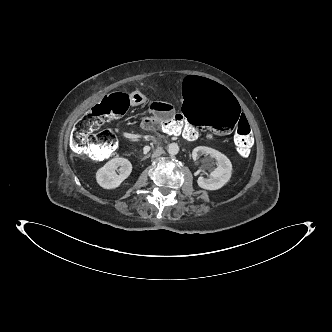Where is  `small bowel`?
<instances>
[{"label": "small bowel", "mask_w": 332, "mask_h": 332, "mask_svg": "<svg viewBox=\"0 0 332 332\" xmlns=\"http://www.w3.org/2000/svg\"><path fill=\"white\" fill-rule=\"evenodd\" d=\"M136 94L138 96V100L134 101L133 104L139 105L147 102V98L144 94L140 92H136ZM186 112H187V107H186ZM174 117H175V112L173 110V106L170 103L165 101L152 102L150 104V114L142 119L140 127L145 131H154L157 128L152 125V120L154 118H158L160 121H171L174 119ZM186 130L192 133L194 139L198 137V132L194 128L189 127L186 128ZM213 135L224 136V135H217L214 133Z\"/></svg>", "instance_id": "c3829d8e"}]
</instances>
